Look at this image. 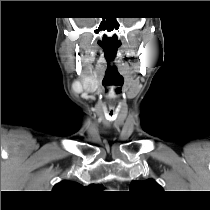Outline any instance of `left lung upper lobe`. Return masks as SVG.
<instances>
[{
    "label": "left lung upper lobe",
    "instance_id": "obj_1",
    "mask_svg": "<svg viewBox=\"0 0 210 210\" xmlns=\"http://www.w3.org/2000/svg\"><path fill=\"white\" fill-rule=\"evenodd\" d=\"M130 190L139 193H152L161 191L162 187L158 185L154 180L148 179L145 181H132Z\"/></svg>",
    "mask_w": 210,
    "mask_h": 210
}]
</instances>
